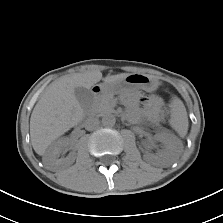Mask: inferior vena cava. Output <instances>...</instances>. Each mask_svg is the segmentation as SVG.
Returning a JSON list of instances; mask_svg holds the SVG:
<instances>
[{"label": "inferior vena cava", "instance_id": "602c4592", "mask_svg": "<svg viewBox=\"0 0 223 223\" xmlns=\"http://www.w3.org/2000/svg\"><path fill=\"white\" fill-rule=\"evenodd\" d=\"M99 124H100V121L98 118L91 117L85 121V128L87 130H94L99 126Z\"/></svg>", "mask_w": 223, "mask_h": 223}]
</instances>
